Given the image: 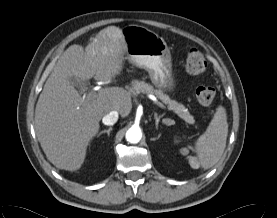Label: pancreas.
Segmentation results:
<instances>
[{
	"instance_id": "cf45deb5",
	"label": "pancreas",
	"mask_w": 277,
	"mask_h": 218,
	"mask_svg": "<svg viewBox=\"0 0 277 218\" xmlns=\"http://www.w3.org/2000/svg\"><path fill=\"white\" fill-rule=\"evenodd\" d=\"M132 90L139 94H148L155 95L158 99H160L163 103H165L170 110H173L181 119H183L188 124H194L195 119L189 113V111L185 108L184 105L176 102L175 100H171L170 97L164 94L161 90H156L150 84L144 81L134 80L132 82Z\"/></svg>"
}]
</instances>
